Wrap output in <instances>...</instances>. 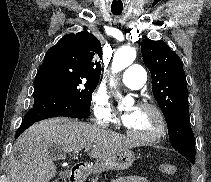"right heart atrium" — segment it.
Segmentation results:
<instances>
[{"instance_id":"1","label":"right heart atrium","mask_w":211,"mask_h":182,"mask_svg":"<svg viewBox=\"0 0 211 182\" xmlns=\"http://www.w3.org/2000/svg\"><path fill=\"white\" fill-rule=\"evenodd\" d=\"M91 111L95 121L101 125L116 123V116L107 95L102 91H95L91 99Z\"/></svg>"}]
</instances>
